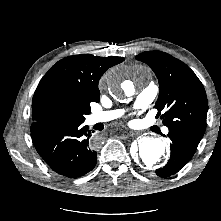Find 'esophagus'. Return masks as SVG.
I'll list each match as a JSON object with an SVG mask.
<instances>
[{"label": "esophagus", "instance_id": "34e87169", "mask_svg": "<svg viewBox=\"0 0 221 221\" xmlns=\"http://www.w3.org/2000/svg\"><path fill=\"white\" fill-rule=\"evenodd\" d=\"M124 133H125L124 136H127V137L136 135V133L133 131H125Z\"/></svg>", "mask_w": 221, "mask_h": 221}]
</instances>
